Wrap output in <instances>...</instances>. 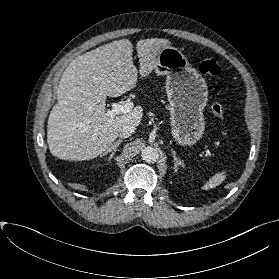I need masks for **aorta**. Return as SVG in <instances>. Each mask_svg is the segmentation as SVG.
Wrapping results in <instances>:
<instances>
[{"label": "aorta", "mask_w": 279, "mask_h": 279, "mask_svg": "<svg viewBox=\"0 0 279 279\" xmlns=\"http://www.w3.org/2000/svg\"><path fill=\"white\" fill-rule=\"evenodd\" d=\"M142 159L147 163H154L158 160L159 153L156 148L147 146L141 152Z\"/></svg>", "instance_id": "762f6f07"}]
</instances>
